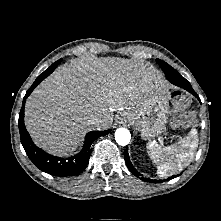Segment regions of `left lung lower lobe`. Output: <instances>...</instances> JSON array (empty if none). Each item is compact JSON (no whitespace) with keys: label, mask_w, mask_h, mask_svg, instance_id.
Instances as JSON below:
<instances>
[{"label":"left lung lower lobe","mask_w":221,"mask_h":221,"mask_svg":"<svg viewBox=\"0 0 221 221\" xmlns=\"http://www.w3.org/2000/svg\"><path fill=\"white\" fill-rule=\"evenodd\" d=\"M172 84L180 87V88H183L185 90H187L188 92H190L191 94H193L196 98L199 99L198 95L196 94V92L193 90V88L191 87L190 83L184 78V77H181L180 79L178 80H174L171 82ZM200 100V99H199ZM124 157H125V162H126V165L127 167L129 168V170L135 175V176H140V173L134 168V166L132 165V163L130 162V159H129V155H128V149H126L124 151ZM143 181H146V182H158L156 180H150V179H147V178H141ZM172 179V178H170ZM161 182V181H159Z\"/></svg>","instance_id":"0a47b994"}]
</instances>
